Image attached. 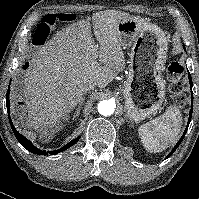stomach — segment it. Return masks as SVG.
Returning a JSON list of instances; mask_svg holds the SVG:
<instances>
[{"label":"stomach","mask_w":199,"mask_h":199,"mask_svg":"<svg viewBox=\"0 0 199 199\" xmlns=\"http://www.w3.org/2000/svg\"><path fill=\"white\" fill-rule=\"evenodd\" d=\"M121 46L129 47V73L122 86L125 111L139 122L154 115L165 99L162 73L167 60L168 41L155 24L141 17L128 16L117 26Z\"/></svg>","instance_id":"0dacf381"}]
</instances>
